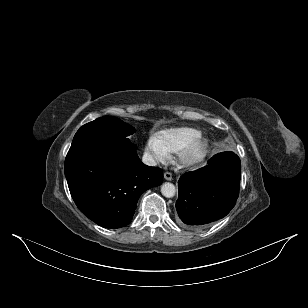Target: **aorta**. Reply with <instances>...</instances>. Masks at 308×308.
Here are the masks:
<instances>
[{"label":"aorta","instance_id":"1","mask_svg":"<svg viewBox=\"0 0 308 308\" xmlns=\"http://www.w3.org/2000/svg\"><path fill=\"white\" fill-rule=\"evenodd\" d=\"M161 193H162L163 196H165L167 198H171L176 193L175 186L172 183L165 182L161 186Z\"/></svg>","mask_w":308,"mask_h":308}]
</instances>
